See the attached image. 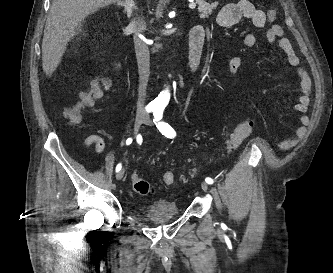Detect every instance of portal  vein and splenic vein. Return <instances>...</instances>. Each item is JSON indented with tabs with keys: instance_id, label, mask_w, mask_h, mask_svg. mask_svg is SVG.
I'll list each match as a JSON object with an SVG mask.
<instances>
[{
	"instance_id": "18ae733b",
	"label": "portal vein and splenic vein",
	"mask_w": 333,
	"mask_h": 273,
	"mask_svg": "<svg viewBox=\"0 0 333 273\" xmlns=\"http://www.w3.org/2000/svg\"><path fill=\"white\" fill-rule=\"evenodd\" d=\"M189 7H190L191 9H194V8L196 7V4H195V3H191V4L189 5Z\"/></svg>"
}]
</instances>
